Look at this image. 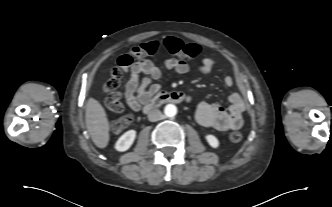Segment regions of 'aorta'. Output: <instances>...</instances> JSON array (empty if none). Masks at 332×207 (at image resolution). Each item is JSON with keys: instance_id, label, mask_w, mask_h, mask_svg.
<instances>
[{"instance_id": "aorta-1", "label": "aorta", "mask_w": 332, "mask_h": 207, "mask_svg": "<svg viewBox=\"0 0 332 207\" xmlns=\"http://www.w3.org/2000/svg\"><path fill=\"white\" fill-rule=\"evenodd\" d=\"M164 113L167 117H173L177 114V107L173 104H167L164 108Z\"/></svg>"}]
</instances>
